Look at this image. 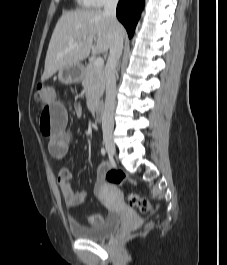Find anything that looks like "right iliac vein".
I'll return each instance as SVG.
<instances>
[{
	"label": "right iliac vein",
	"mask_w": 227,
	"mask_h": 265,
	"mask_svg": "<svg viewBox=\"0 0 227 265\" xmlns=\"http://www.w3.org/2000/svg\"><path fill=\"white\" fill-rule=\"evenodd\" d=\"M103 141L109 156L113 157L115 155V145L112 134L108 132L104 133Z\"/></svg>",
	"instance_id": "1"
}]
</instances>
